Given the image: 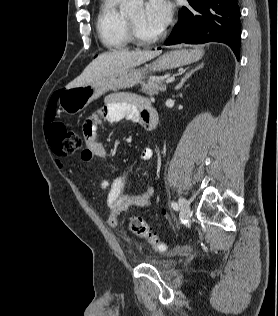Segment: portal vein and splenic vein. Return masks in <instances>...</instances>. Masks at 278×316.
Wrapping results in <instances>:
<instances>
[{"instance_id":"1","label":"portal vein and splenic vein","mask_w":278,"mask_h":316,"mask_svg":"<svg viewBox=\"0 0 278 316\" xmlns=\"http://www.w3.org/2000/svg\"><path fill=\"white\" fill-rule=\"evenodd\" d=\"M174 80H175V77H170L166 80V83H172L174 82Z\"/></svg>"}]
</instances>
